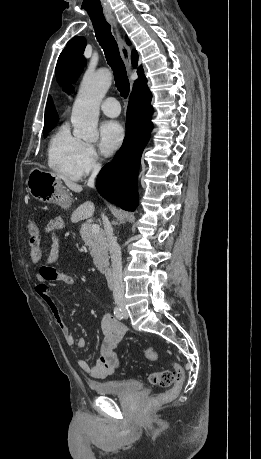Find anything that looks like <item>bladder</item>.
<instances>
[{
  "label": "bladder",
  "mask_w": 261,
  "mask_h": 459,
  "mask_svg": "<svg viewBox=\"0 0 261 459\" xmlns=\"http://www.w3.org/2000/svg\"><path fill=\"white\" fill-rule=\"evenodd\" d=\"M142 386V383L137 379H114L91 383L93 391L101 395L126 396L139 392Z\"/></svg>",
  "instance_id": "31cf9c89"
}]
</instances>
